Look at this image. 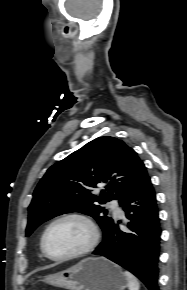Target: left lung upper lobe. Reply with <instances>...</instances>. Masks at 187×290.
<instances>
[{"mask_svg": "<svg viewBox=\"0 0 187 290\" xmlns=\"http://www.w3.org/2000/svg\"><path fill=\"white\" fill-rule=\"evenodd\" d=\"M146 175L144 163L122 140L94 139L48 169L28 208L26 236L41 223L75 211L94 217L105 232L114 219L97 202H120ZM96 185L104 188L99 196L92 193Z\"/></svg>", "mask_w": 187, "mask_h": 290, "instance_id": "obj_1", "label": "left lung upper lobe"}]
</instances>
